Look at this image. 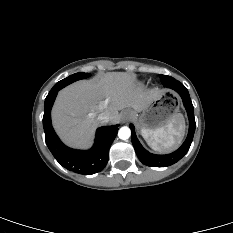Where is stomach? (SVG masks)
<instances>
[{
    "label": "stomach",
    "instance_id": "stomach-1",
    "mask_svg": "<svg viewBox=\"0 0 233 233\" xmlns=\"http://www.w3.org/2000/svg\"><path fill=\"white\" fill-rule=\"evenodd\" d=\"M180 94L171 88L161 90L143 109H130V119L140 129L154 130L165 126L180 109Z\"/></svg>",
    "mask_w": 233,
    "mask_h": 233
}]
</instances>
